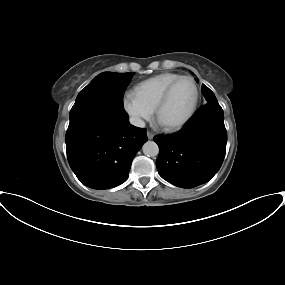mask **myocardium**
Returning <instances> with one entry per match:
<instances>
[{
    "instance_id": "1",
    "label": "myocardium",
    "mask_w": 285,
    "mask_h": 285,
    "mask_svg": "<svg viewBox=\"0 0 285 285\" xmlns=\"http://www.w3.org/2000/svg\"><path fill=\"white\" fill-rule=\"evenodd\" d=\"M183 79H189L194 85L195 99H194L193 106H192L191 110L189 111V113L179 122L174 123V124H170V125H162L159 122L160 112L163 109V107L166 105V103L168 102L174 87L178 84L179 81H181ZM199 102H200V88H199L197 81L194 79V77H192L190 75H180L178 78L173 80L167 86V88L163 92L162 96L160 97L159 101L157 102L155 109H154L155 119L165 131H168V132L177 131V130L181 129L182 127H184L194 117L195 113L197 112Z\"/></svg>"
}]
</instances>
